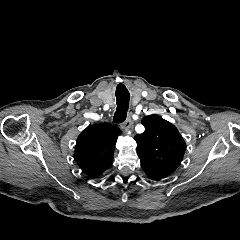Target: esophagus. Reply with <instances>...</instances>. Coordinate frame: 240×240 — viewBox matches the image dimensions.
I'll return each mask as SVG.
<instances>
[{"instance_id": "esophagus-1", "label": "esophagus", "mask_w": 240, "mask_h": 240, "mask_svg": "<svg viewBox=\"0 0 240 240\" xmlns=\"http://www.w3.org/2000/svg\"><path fill=\"white\" fill-rule=\"evenodd\" d=\"M131 124H132L131 113H128V116L126 120L123 122L121 127L123 130L127 131L131 127Z\"/></svg>"}]
</instances>
